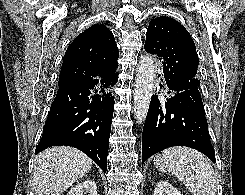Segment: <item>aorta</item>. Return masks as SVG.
I'll return each instance as SVG.
<instances>
[{
	"label": "aorta",
	"instance_id": "762f6f07",
	"mask_svg": "<svg viewBox=\"0 0 245 195\" xmlns=\"http://www.w3.org/2000/svg\"><path fill=\"white\" fill-rule=\"evenodd\" d=\"M155 78V62L151 55L141 57L134 85V114L139 124H142L147 116L151 97L153 95Z\"/></svg>",
	"mask_w": 245,
	"mask_h": 195
}]
</instances>
